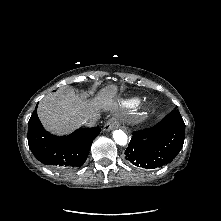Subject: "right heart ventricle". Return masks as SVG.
Masks as SVG:
<instances>
[{"label":"right heart ventricle","mask_w":221,"mask_h":221,"mask_svg":"<svg viewBox=\"0 0 221 221\" xmlns=\"http://www.w3.org/2000/svg\"><path fill=\"white\" fill-rule=\"evenodd\" d=\"M135 103V101H131V102H127L126 104L127 105H132V104H134Z\"/></svg>","instance_id":"1"}]
</instances>
